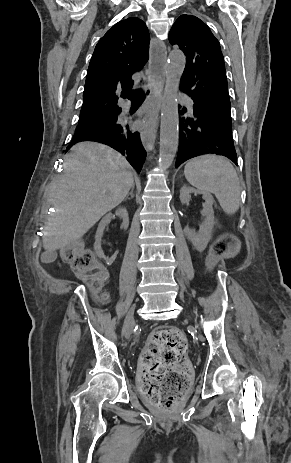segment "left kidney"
<instances>
[{
	"label": "left kidney",
	"instance_id": "left-kidney-1",
	"mask_svg": "<svg viewBox=\"0 0 291 463\" xmlns=\"http://www.w3.org/2000/svg\"><path fill=\"white\" fill-rule=\"evenodd\" d=\"M191 193L201 194L205 200L204 209L201 211L202 216H204V222L199 228V231L190 229L188 226L184 228V233L187 239L193 244L195 249L199 252L205 250L208 245V242L211 239L212 230L215 224L214 211H213V196L203 190H196L192 187L184 185L180 190V201L182 204H187L190 201Z\"/></svg>",
	"mask_w": 291,
	"mask_h": 463
}]
</instances>
